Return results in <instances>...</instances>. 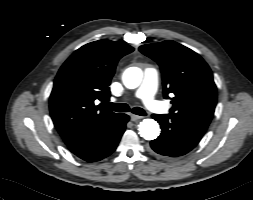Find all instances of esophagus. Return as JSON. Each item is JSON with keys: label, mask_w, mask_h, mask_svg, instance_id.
<instances>
[{"label": "esophagus", "mask_w": 253, "mask_h": 200, "mask_svg": "<svg viewBox=\"0 0 253 200\" xmlns=\"http://www.w3.org/2000/svg\"><path fill=\"white\" fill-rule=\"evenodd\" d=\"M140 119H142L141 116L134 115V114L131 115V120H132L133 122H137V121H139Z\"/></svg>", "instance_id": "obj_1"}]
</instances>
